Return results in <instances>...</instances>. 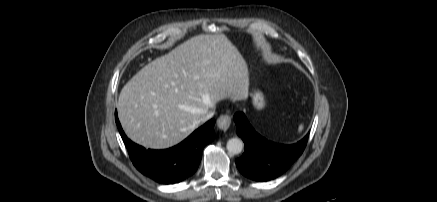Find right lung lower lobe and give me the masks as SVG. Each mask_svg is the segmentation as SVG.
<instances>
[{"mask_svg": "<svg viewBox=\"0 0 437 202\" xmlns=\"http://www.w3.org/2000/svg\"><path fill=\"white\" fill-rule=\"evenodd\" d=\"M115 121L134 166L142 174L162 184L179 183L191 177L198 169L203 148L214 138L215 120L211 119L172 148L146 150L127 138L117 113Z\"/></svg>", "mask_w": 437, "mask_h": 202, "instance_id": "1", "label": "right lung lower lobe"}]
</instances>
